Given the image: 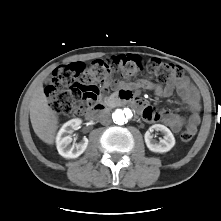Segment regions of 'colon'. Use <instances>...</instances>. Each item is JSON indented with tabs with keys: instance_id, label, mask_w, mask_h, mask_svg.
Instances as JSON below:
<instances>
[{
	"instance_id": "colon-1",
	"label": "colon",
	"mask_w": 221,
	"mask_h": 221,
	"mask_svg": "<svg viewBox=\"0 0 221 221\" xmlns=\"http://www.w3.org/2000/svg\"><path fill=\"white\" fill-rule=\"evenodd\" d=\"M142 70H147L157 83L167 87L184 75L180 66L159 59L144 62L134 55L97 59L89 65L73 62L54 71L47 82L45 95L53 111L64 115L72 114L97 100L98 84L107 81L112 72L121 71L132 76ZM194 134L191 130H185L181 139L188 142Z\"/></svg>"
}]
</instances>
